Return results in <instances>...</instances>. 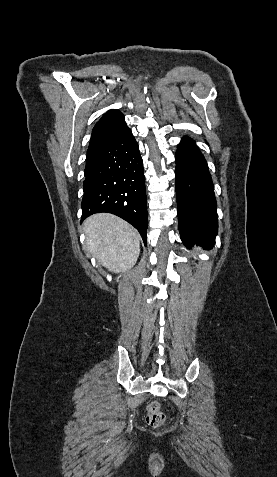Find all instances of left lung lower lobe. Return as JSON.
<instances>
[{
  "label": "left lung lower lobe",
  "mask_w": 277,
  "mask_h": 477,
  "mask_svg": "<svg viewBox=\"0 0 277 477\" xmlns=\"http://www.w3.org/2000/svg\"><path fill=\"white\" fill-rule=\"evenodd\" d=\"M176 196L181 239L206 248L215 243L218 229L216 200L207 162L198 146L183 137L175 155Z\"/></svg>",
  "instance_id": "obj_1"
}]
</instances>
